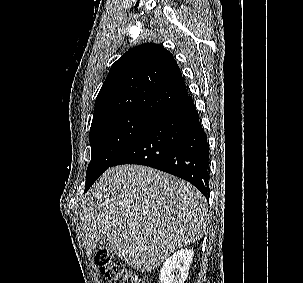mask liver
Masks as SVG:
<instances>
[{
    "mask_svg": "<svg viewBox=\"0 0 303 283\" xmlns=\"http://www.w3.org/2000/svg\"><path fill=\"white\" fill-rule=\"evenodd\" d=\"M206 214V199L191 184L146 166L122 165L108 169L87 193L79 225L87 252L107 239L119 258L145 272L200 240Z\"/></svg>",
    "mask_w": 303,
    "mask_h": 283,
    "instance_id": "obj_1",
    "label": "liver"
}]
</instances>
